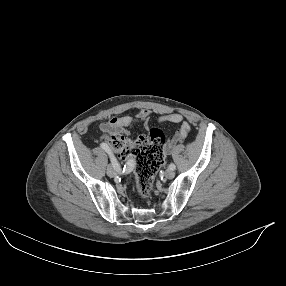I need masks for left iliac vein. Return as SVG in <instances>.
Returning <instances> with one entry per match:
<instances>
[{
	"instance_id": "obj_1",
	"label": "left iliac vein",
	"mask_w": 286,
	"mask_h": 286,
	"mask_svg": "<svg viewBox=\"0 0 286 286\" xmlns=\"http://www.w3.org/2000/svg\"><path fill=\"white\" fill-rule=\"evenodd\" d=\"M174 176H175V173H174L173 170L167 169V170L165 171V177H166L167 179H172V178H174Z\"/></svg>"
}]
</instances>
